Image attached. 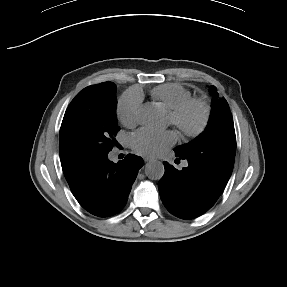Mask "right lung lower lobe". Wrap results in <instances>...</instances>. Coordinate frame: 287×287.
I'll list each match as a JSON object with an SVG mask.
<instances>
[{"label": "right lung lower lobe", "mask_w": 287, "mask_h": 287, "mask_svg": "<svg viewBox=\"0 0 287 287\" xmlns=\"http://www.w3.org/2000/svg\"><path fill=\"white\" fill-rule=\"evenodd\" d=\"M143 163L141 157L133 154L114 163L105 154L78 168L66 179L85 210L99 217H108L117 214L126 205Z\"/></svg>", "instance_id": "right-lung-lower-lobe-1"}]
</instances>
